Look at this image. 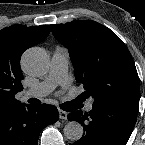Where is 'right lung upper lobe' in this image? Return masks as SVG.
I'll list each match as a JSON object with an SVG mask.
<instances>
[{"label": "right lung upper lobe", "instance_id": "1", "mask_svg": "<svg viewBox=\"0 0 145 145\" xmlns=\"http://www.w3.org/2000/svg\"><path fill=\"white\" fill-rule=\"evenodd\" d=\"M48 25L26 27L15 24L0 30V112L21 104L15 94L23 90L20 58L23 52L43 41Z\"/></svg>", "mask_w": 145, "mask_h": 145}]
</instances>
